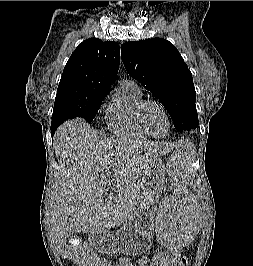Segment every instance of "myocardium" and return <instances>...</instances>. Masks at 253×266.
Listing matches in <instances>:
<instances>
[{"label":"myocardium","instance_id":"myocardium-1","mask_svg":"<svg viewBox=\"0 0 253 266\" xmlns=\"http://www.w3.org/2000/svg\"><path fill=\"white\" fill-rule=\"evenodd\" d=\"M150 104H154L156 106H158L164 113L165 117H166V120H167V130L166 132L163 134V135H156L154 133H152L148 128L147 126L145 125L144 123V111H145V108L150 105ZM136 120H137V123L139 125V127L150 137H154V138H163L165 136H167V134L170 132V129H171V119H170V116L168 114V111L167 109L165 108V106L160 103L159 101L157 100H154V99H144L138 106L137 108V111H136Z\"/></svg>","mask_w":253,"mask_h":266}]
</instances>
